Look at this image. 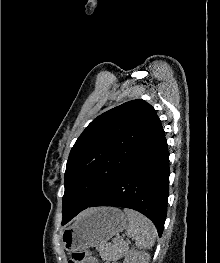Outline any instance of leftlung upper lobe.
<instances>
[{"label": "left lung upper lobe", "mask_w": 220, "mask_h": 263, "mask_svg": "<svg viewBox=\"0 0 220 263\" xmlns=\"http://www.w3.org/2000/svg\"><path fill=\"white\" fill-rule=\"evenodd\" d=\"M161 129L155 109L142 99L94 119L75 142L67 161L63 217L86 209Z\"/></svg>", "instance_id": "obj_1"}]
</instances>
